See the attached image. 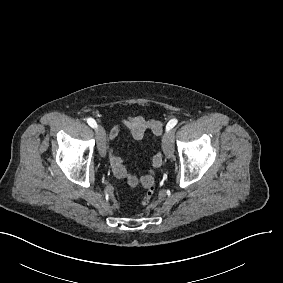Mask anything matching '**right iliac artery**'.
Wrapping results in <instances>:
<instances>
[{
	"label": "right iliac artery",
	"instance_id": "1",
	"mask_svg": "<svg viewBox=\"0 0 283 283\" xmlns=\"http://www.w3.org/2000/svg\"><path fill=\"white\" fill-rule=\"evenodd\" d=\"M87 123L92 127V128H96L97 127V123L93 118H88L87 119Z\"/></svg>",
	"mask_w": 283,
	"mask_h": 283
}]
</instances>
